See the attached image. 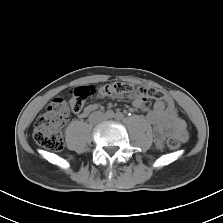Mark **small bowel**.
<instances>
[{"instance_id":"c3829d8e","label":"small bowel","mask_w":223,"mask_h":223,"mask_svg":"<svg viewBox=\"0 0 223 223\" xmlns=\"http://www.w3.org/2000/svg\"><path fill=\"white\" fill-rule=\"evenodd\" d=\"M132 99L135 108L146 109L142 99L138 97H132ZM97 109V104H89L79 113V116L85 118ZM146 119L153 127L157 148H162L164 139L169 135H175L183 142L188 138L185 121L179 116L175 104L168 107L162 99H157L153 108L147 113Z\"/></svg>"}]
</instances>
